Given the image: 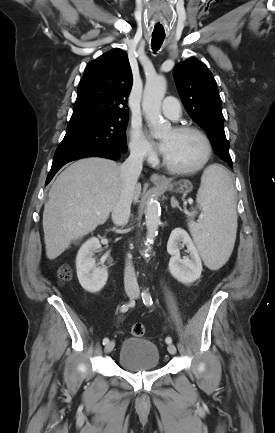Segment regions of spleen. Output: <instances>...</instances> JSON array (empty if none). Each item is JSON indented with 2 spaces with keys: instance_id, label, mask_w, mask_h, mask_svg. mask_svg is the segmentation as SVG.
Returning <instances> with one entry per match:
<instances>
[{
  "instance_id": "3e777b00",
  "label": "spleen",
  "mask_w": 275,
  "mask_h": 433,
  "mask_svg": "<svg viewBox=\"0 0 275 433\" xmlns=\"http://www.w3.org/2000/svg\"><path fill=\"white\" fill-rule=\"evenodd\" d=\"M196 201L202 219L190 221L189 230L206 266L217 270L228 261L237 231L235 190L223 166L213 164L205 169Z\"/></svg>"
}]
</instances>
